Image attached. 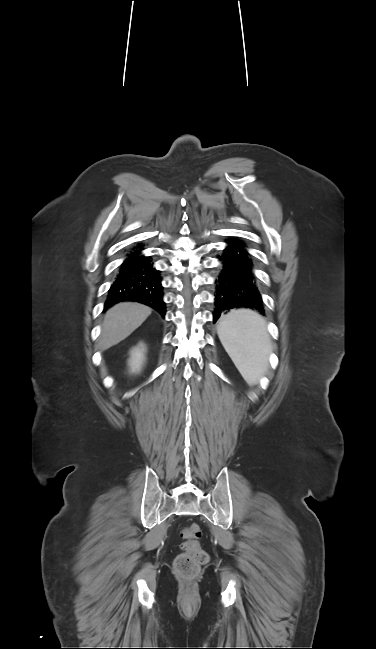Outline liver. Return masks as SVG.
Masks as SVG:
<instances>
[{
  "mask_svg": "<svg viewBox=\"0 0 376 649\" xmlns=\"http://www.w3.org/2000/svg\"><path fill=\"white\" fill-rule=\"evenodd\" d=\"M151 312L150 307L134 302H123L111 307L103 322L100 349L106 350L126 339Z\"/></svg>",
  "mask_w": 376,
  "mask_h": 649,
  "instance_id": "1",
  "label": "liver"
}]
</instances>
